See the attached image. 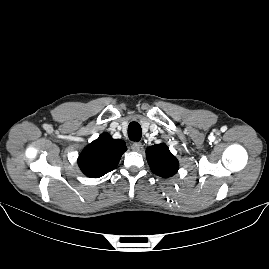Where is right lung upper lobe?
Returning a JSON list of instances; mask_svg holds the SVG:
<instances>
[{"label": "right lung upper lobe", "mask_w": 269, "mask_h": 269, "mask_svg": "<svg viewBox=\"0 0 269 269\" xmlns=\"http://www.w3.org/2000/svg\"><path fill=\"white\" fill-rule=\"evenodd\" d=\"M126 150L123 140L104 132L81 152L78 164L85 175L98 178L115 169Z\"/></svg>", "instance_id": "obj_1"}]
</instances>
